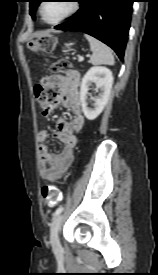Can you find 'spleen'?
I'll use <instances>...</instances> for the list:
<instances>
[{"label": "spleen", "mask_w": 158, "mask_h": 275, "mask_svg": "<svg viewBox=\"0 0 158 275\" xmlns=\"http://www.w3.org/2000/svg\"><path fill=\"white\" fill-rule=\"evenodd\" d=\"M85 37L89 41L92 51L90 63H92L93 65H114V56L111 49L107 45L90 35H85Z\"/></svg>", "instance_id": "3e777b00"}]
</instances>
